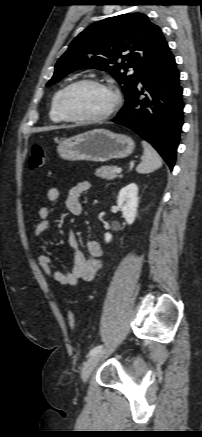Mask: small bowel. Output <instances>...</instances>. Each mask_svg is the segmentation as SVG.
<instances>
[{"label": "small bowel", "instance_id": "obj_1", "mask_svg": "<svg viewBox=\"0 0 202 437\" xmlns=\"http://www.w3.org/2000/svg\"><path fill=\"white\" fill-rule=\"evenodd\" d=\"M90 189L88 181H81L70 188L65 200V207L68 212L74 216L82 213L81 196ZM60 197V191L56 187H51L47 192L49 202H56ZM40 221L34 229V243L40 246L45 233L50 229L52 221L50 219L51 211L48 207H41L38 211ZM69 247L73 253L71 269L67 272L60 271L56 268L53 260L46 254L38 257V263L43 273L50 279L56 281L62 286L74 287L80 280L91 281L96 273L102 267L103 249L101 244L95 240H89L86 243V253L78 248V240L73 230L69 232Z\"/></svg>", "mask_w": 202, "mask_h": 437}]
</instances>
